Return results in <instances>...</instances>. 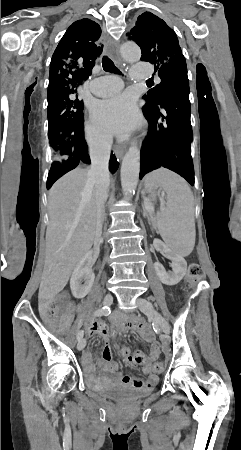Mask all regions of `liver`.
<instances>
[{"label":"liver","mask_w":241,"mask_h":450,"mask_svg":"<svg viewBox=\"0 0 241 450\" xmlns=\"http://www.w3.org/2000/svg\"><path fill=\"white\" fill-rule=\"evenodd\" d=\"M88 170L76 168L55 182L48 196L49 226L39 302L50 304L65 288L76 264L93 246L96 190H85Z\"/></svg>","instance_id":"obj_1"}]
</instances>
